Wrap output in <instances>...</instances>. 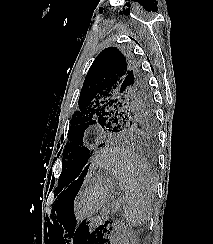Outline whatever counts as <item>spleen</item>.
Masks as SVG:
<instances>
[{"instance_id":"spleen-1","label":"spleen","mask_w":213,"mask_h":244,"mask_svg":"<svg viewBox=\"0 0 213 244\" xmlns=\"http://www.w3.org/2000/svg\"><path fill=\"white\" fill-rule=\"evenodd\" d=\"M103 166L119 181L123 191L120 202L129 225L138 227L146 223L152 213L155 185L145 161L130 151L116 149L103 161Z\"/></svg>"}]
</instances>
